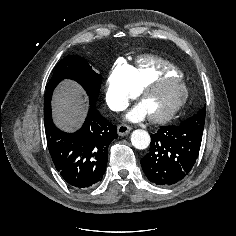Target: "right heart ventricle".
Segmentation results:
<instances>
[{"mask_svg": "<svg viewBox=\"0 0 236 236\" xmlns=\"http://www.w3.org/2000/svg\"><path fill=\"white\" fill-rule=\"evenodd\" d=\"M130 85L136 92L144 84L162 76L181 77V71L167 60L155 56H141L130 66Z\"/></svg>", "mask_w": 236, "mask_h": 236, "instance_id": "right-heart-ventricle-1", "label": "right heart ventricle"}]
</instances>
